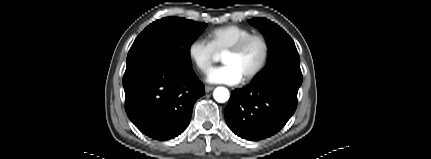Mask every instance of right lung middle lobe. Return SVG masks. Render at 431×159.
I'll use <instances>...</instances> for the list:
<instances>
[{
    "instance_id": "1",
    "label": "right lung middle lobe",
    "mask_w": 431,
    "mask_h": 159,
    "mask_svg": "<svg viewBox=\"0 0 431 159\" xmlns=\"http://www.w3.org/2000/svg\"><path fill=\"white\" fill-rule=\"evenodd\" d=\"M207 24L178 17H166L147 26L132 44L127 65L148 57H163L192 67L190 47Z\"/></svg>"
}]
</instances>
